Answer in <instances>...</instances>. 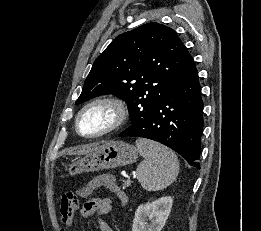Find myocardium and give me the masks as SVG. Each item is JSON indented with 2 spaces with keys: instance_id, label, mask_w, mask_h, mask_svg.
I'll return each mask as SVG.
<instances>
[{
  "instance_id": "obj_1",
  "label": "myocardium",
  "mask_w": 261,
  "mask_h": 231,
  "mask_svg": "<svg viewBox=\"0 0 261 231\" xmlns=\"http://www.w3.org/2000/svg\"><path fill=\"white\" fill-rule=\"evenodd\" d=\"M99 104L108 105L114 110V112H115L114 122L108 128H106L98 133L89 134V135L83 134L79 129V120H80L82 114L90 107L99 105ZM129 116H130L129 107L123 99L116 97V96L98 97V98H95V99L87 102L79 110V112L77 113L76 118H75V131L77 132L78 135H80L83 138H89V139L99 138V137H102L104 135H107L109 133H112L114 131L121 129L127 123Z\"/></svg>"
}]
</instances>
